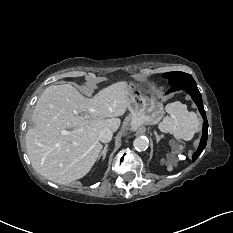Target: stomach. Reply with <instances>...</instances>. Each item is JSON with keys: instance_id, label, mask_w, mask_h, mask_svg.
Wrapping results in <instances>:
<instances>
[{"instance_id": "1", "label": "stomach", "mask_w": 233, "mask_h": 233, "mask_svg": "<svg viewBox=\"0 0 233 233\" xmlns=\"http://www.w3.org/2000/svg\"><path fill=\"white\" fill-rule=\"evenodd\" d=\"M131 123L134 127L158 123L164 114L163 102L152 92L139 87L135 81L126 83Z\"/></svg>"}]
</instances>
